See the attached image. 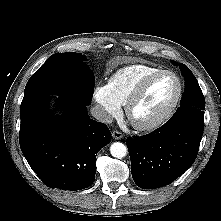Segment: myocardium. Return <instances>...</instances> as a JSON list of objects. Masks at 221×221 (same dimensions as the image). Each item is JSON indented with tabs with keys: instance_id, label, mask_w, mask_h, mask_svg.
<instances>
[{
	"instance_id": "obj_1",
	"label": "myocardium",
	"mask_w": 221,
	"mask_h": 221,
	"mask_svg": "<svg viewBox=\"0 0 221 221\" xmlns=\"http://www.w3.org/2000/svg\"><path fill=\"white\" fill-rule=\"evenodd\" d=\"M162 75H171L176 81L177 90H176V94H175L173 100L168 105V107L155 119H153L149 122H145V123L133 122L131 119V113H132L134 106L137 104V102L143 96L148 85L154 79H156ZM182 91H183L182 82H181L180 78L178 77V75L176 73H174L173 71L161 69V70L156 71L152 74H149L148 76L144 77L139 82V84L137 85V87L135 88V90L133 91L131 96L129 97L128 101L126 102V104H125L126 116L131 121L134 128L139 131H150V130L156 129V128L160 127L161 125H163L166 121H168V119L172 116V114L174 113V111L176 110V108L180 102V99L182 97Z\"/></svg>"
}]
</instances>
